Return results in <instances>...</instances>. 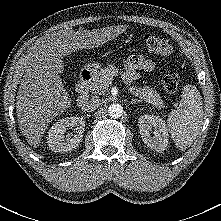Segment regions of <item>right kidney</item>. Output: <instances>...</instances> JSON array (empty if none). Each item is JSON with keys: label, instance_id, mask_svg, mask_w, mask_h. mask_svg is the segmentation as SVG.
Returning <instances> with one entry per match:
<instances>
[{"label": "right kidney", "instance_id": "right-kidney-1", "mask_svg": "<svg viewBox=\"0 0 221 221\" xmlns=\"http://www.w3.org/2000/svg\"><path fill=\"white\" fill-rule=\"evenodd\" d=\"M74 131L67 135L64 134L67 129L74 128ZM85 122L82 118L72 116L66 117L55 122L50 127L47 135V143L53 152H68L75 149L83 138Z\"/></svg>", "mask_w": 221, "mask_h": 221}]
</instances>
